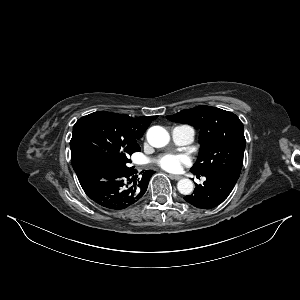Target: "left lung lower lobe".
<instances>
[{
  "mask_svg": "<svg viewBox=\"0 0 300 300\" xmlns=\"http://www.w3.org/2000/svg\"><path fill=\"white\" fill-rule=\"evenodd\" d=\"M203 176L206 177L203 185L195 184L194 192L184 197L185 201L200 209H212L221 204L238 180V177L225 172H211Z\"/></svg>",
  "mask_w": 300,
  "mask_h": 300,
  "instance_id": "1",
  "label": "left lung lower lobe"
}]
</instances>
